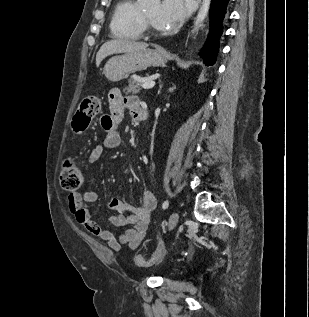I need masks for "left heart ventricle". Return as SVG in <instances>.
Listing matches in <instances>:
<instances>
[{
  "label": "left heart ventricle",
  "mask_w": 309,
  "mask_h": 317,
  "mask_svg": "<svg viewBox=\"0 0 309 317\" xmlns=\"http://www.w3.org/2000/svg\"><path fill=\"white\" fill-rule=\"evenodd\" d=\"M158 11H159V5H155V6L151 7L150 9L146 10L144 13L147 16V18L149 19V21L152 23V25L157 30H161V28L159 27V25L157 23Z\"/></svg>",
  "instance_id": "obj_1"
}]
</instances>
